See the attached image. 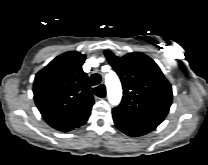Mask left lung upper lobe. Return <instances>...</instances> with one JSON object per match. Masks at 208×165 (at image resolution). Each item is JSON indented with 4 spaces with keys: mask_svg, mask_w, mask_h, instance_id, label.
I'll use <instances>...</instances> for the list:
<instances>
[{
    "mask_svg": "<svg viewBox=\"0 0 208 165\" xmlns=\"http://www.w3.org/2000/svg\"><path fill=\"white\" fill-rule=\"evenodd\" d=\"M104 53L124 90L121 103L112 111L132 120L159 125L169 112L173 95L159 66L140 52L123 57L109 50Z\"/></svg>",
    "mask_w": 208,
    "mask_h": 165,
    "instance_id": "obj_1",
    "label": "left lung upper lobe"
}]
</instances>
